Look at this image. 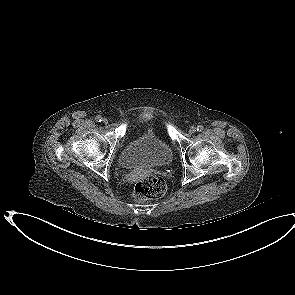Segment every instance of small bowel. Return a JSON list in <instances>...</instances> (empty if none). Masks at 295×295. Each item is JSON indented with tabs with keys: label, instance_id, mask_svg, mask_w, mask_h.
<instances>
[{
	"label": "small bowel",
	"instance_id": "small-bowel-1",
	"mask_svg": "<svg viewBox=\"0 0 295 295\" xmlns=\"http://www.w3.org/2000/svg\"><path fill=\"white\" fill-rule=\"evenodd\" d=\"M153 177V172L151 170H138L127 172L124 175V180L126 182L137 181L138 179H151Z\"/></svg>",
	"mask_w": 295,
	"mask_h": 295
}]
</instances>
